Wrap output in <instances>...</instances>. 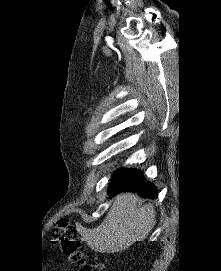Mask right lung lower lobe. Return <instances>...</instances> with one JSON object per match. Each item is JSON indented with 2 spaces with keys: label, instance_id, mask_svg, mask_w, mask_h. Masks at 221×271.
<instances>
[{
  "label": "right lung lower lobe",
  "instance_id": "obj_1",
  "mask_svg": "<svg viewBox=\"0 0 221 271\" xmlns=\"http://www.w3.org/2000/svg\"><path fill=\"white\" fill-rule=\"evenodd\" d=\"M121 192H133L141 197L157 198L156 187L137 169H119L114 173L108 187V195L112 198Z\"/></svg>",
  "mask_w": 221,
  "mask_h": 271
}]
</instances>
